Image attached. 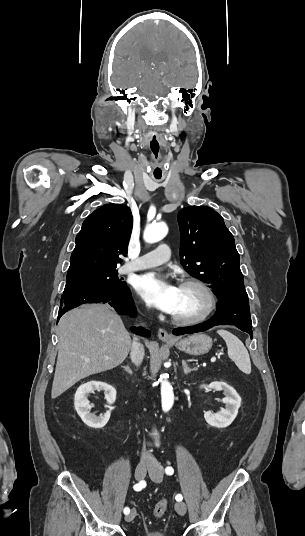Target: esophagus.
<instances>
[{"label":"esophagus","instance_id":"34e87169","mask_svg":"<svg viewBox=\"0 0 305 536\" xmlns=\"http://www.w3.org/2000/svg\"><path fill=\"white\" fill-rule=\"evenodd\" d=\"M158 337L162 341H174V338L171 335H169V333H167V331L164 330V328H159Z\"/></svg>","mask_w":305,"mask_h":536}]
</instances>
